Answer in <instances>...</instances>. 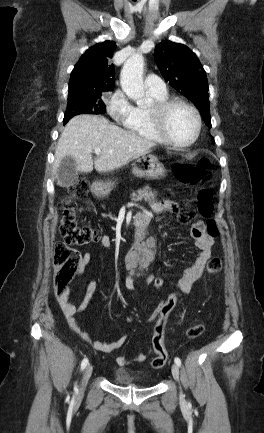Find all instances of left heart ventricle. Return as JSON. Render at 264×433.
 <instances>
[{
  "label": "left heart ventricle",
  "mask_w": 264,
  "mask_h": 433,
  "mask_svg": "<svg viewBox=\"0 0 264 433\" xmlns=\"http://www.w3.org/2000/svg\"><path fill=\"white\" fill-rule=\"evenodd\" d=\"M167 129L171 138L176 142H187L195 133V118L190 110L183 106H177L168 115Z\"/></svg>",
  "instance_id": "obj_1"
}]
</instances>
